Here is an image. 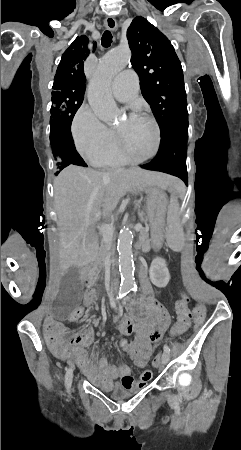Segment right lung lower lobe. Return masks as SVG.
<instances>
[{
    "instance_id": "98d812e1",
    "label": "right lung lower lobe",
    "mask_w": 241,
    "mask_h": 450,
    "mask_svg": "<svg viewBox=\"0 0 241 450\" xmlns=\"http://www.w3.org/2000/svg\"><path fill=\"white\" fill-rule=\"evenodd\" d=\"M65 157L68 159V163L79 166H87L81 156L75 149L74 143H69L65 146Z\"/></svg>"
}]
</instances>
